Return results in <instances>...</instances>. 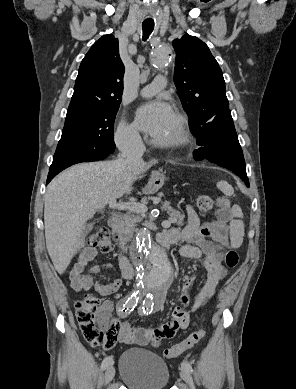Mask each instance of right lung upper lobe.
I'll use <instances>...</instances> for the list:
<instances>
[{
	"label": "right lung upper lobe",
	"mask_w": 296,
	"mask_h": 389,
	"mask_svg": "<svg viewBox=\"0 0 296 389\" xmlns=\"http://www.w3.org/2000/svg\"><path fill=\"white\" fill-rule=\"evenodd\" d=\"M124 72L118 39L112 34L102 36L81 62L66 119L98 108L119 106Z\"/></svg>",
	"instance_id": "obj_1"
}]
</instances>
